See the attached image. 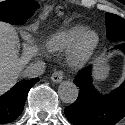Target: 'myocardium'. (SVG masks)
Returning a JSON list of instances; mask_svg holds the SVG:
<instances>
[{
  "label": "myocardium",
  "instance_id": "f54148a6",
  "mask_svg": "<svg viewBox=\"0 0 125 125\" xmlns=\"http://www.w3.org/2000/svg\"><path fill=\"white\" fill-rule=\"evenodd\" d=\"M99 45V36L95 31L82 33L68 52V62L73 68H81L91 58Z\"/></svg>",
  "mask_w": 125,
  "mask_h": 125
}]
</instances>
